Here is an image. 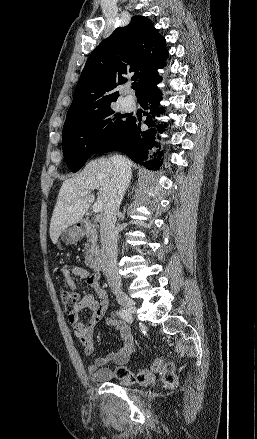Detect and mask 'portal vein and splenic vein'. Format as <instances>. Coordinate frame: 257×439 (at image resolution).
I'll use <instances>...</instances> for the list:
<instances>
[{
	"instance_id": "portal-vein-and-splenic-vein-1",
	"label": "portal vein and splenic vein",
	"mask_w": 257,
	"mask_h": 439,
	"mask_svg": "<svg viewBox=\"0 0 257 439\" xmlns=\"http://www.w3.org/2000/svg\"><path fill=\"white\" fill-rule=\"evenodd\" d=\"M88 193H89V192H83V193H81V196H85V195H87ZM102 205H103V202H102L101 200H98V201L95 202L94 205H93V211H94L95 213L100 212L101 209H102Z\"/></svg>"
}]
</instances>
